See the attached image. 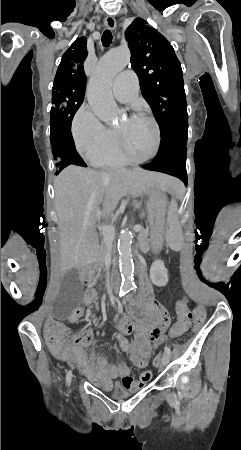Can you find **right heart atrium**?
<instances>
[{
  "label": "right heart atrium",
  "instance_id": "1",
  "mask_svg": "<svg viewBox=\"0 0 241 450\" xmlns=\"http://www.w3.org/2000/svg\"><path fill=\"white\" fill-rule=\"evenodd\" d=\"M89 106L83 104L72 120V137L79 155L85 159L101 156L111 149L114 131L107 130ZM78 136V137H77Z\"/></svg>",
  "mask_w": 241,
  "mask_h": 450
}]
</instances>
